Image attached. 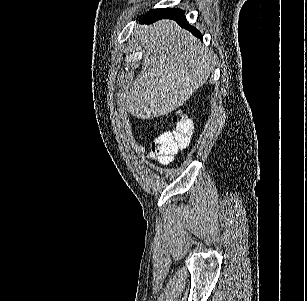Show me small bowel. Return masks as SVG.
I'll use <instances>...</instances> for the list:
<instances>
[{"label":"small bowel","mask_w":307,"mask_h":301,"mask_svg":"<svg viewBox=\"0 0 307 301\" xmlns=\"http://www.w3.org/2000/svg\"><path fill=\"white\" fill-rule=\"evenodd\" d=\"M138 149H139V151L142 152V153L145 152V148L142 147V146H139ZM148 157H149L150 159H153V160H156V159L161 160L160 157H158L153 151L148 153ZM161 161H163V160H161Z\"/></svg>","instance_id":"small-bowel-1"}]
</instances>
